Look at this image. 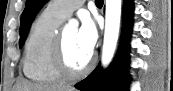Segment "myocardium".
<instances>
[{"label":"myocardium","mask_w":173,"mask_h":91,"mask_svg":"<svg viewBox=\"0 0 173 91\" xmlns=\"http://www.w3.org/2000/svg\"><path fill=\"white\" fill-rule=\"evenodd\" d=\"M94 62V55H90L88 62L83 68H81L80 70H74L67 60L64 31L60 30L58 32L52 52V64L54 70L63 79L73 80L83 77L91 70Z\"/></svg>","instance_id":"myocardium-1"}]
</instances>
